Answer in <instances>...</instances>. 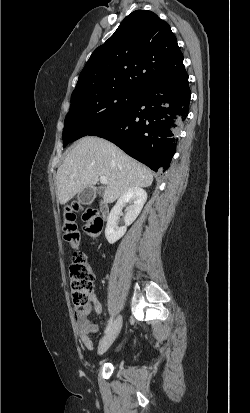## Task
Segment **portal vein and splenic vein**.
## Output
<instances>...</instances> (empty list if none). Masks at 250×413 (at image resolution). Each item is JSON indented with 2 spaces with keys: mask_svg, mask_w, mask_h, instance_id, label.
<instances>
[{
  "mask_svg": "<svg viewBox=\"0 0 250 413\" xmlns=\"http://www.w3.org/2000/svg\"><path fill=\"white\" fill-rule=\"evenodd\" d=\"M100 182H101L102 184H108V180H107V178L104 177V176H101V177H100Z\"/></svg>",
  "mask_w": 250,
  "mask_h": 413,
  "instance_id": "1",
  "label": "portal vein and splenic vein"
}]
</instances>
